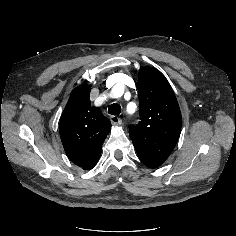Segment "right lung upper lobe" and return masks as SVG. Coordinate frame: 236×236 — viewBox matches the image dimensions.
<instances>
[{"label": "right lung upper lobe", "instance_id": "right-lung-upper-lobe-1", "mask_svg": "<svg viewBox=\"0 0 236 236\" xmlns=\"http://www.w3.org/2000/svg\"><path fill=\"white\" fill-rule=\"evenodd\" d=\"M89 94L87 85H80L71 93L59 125L68 158L84 170L95 166L111 129V122L101 110L91 106Z\"/></svg>", "mask_w": 236, "mask_h": 236}]
</instances>
